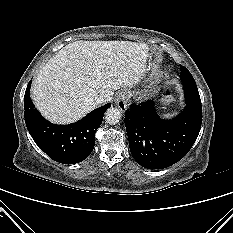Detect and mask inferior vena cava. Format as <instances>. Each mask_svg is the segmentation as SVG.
Segmentation results:
<instances>
[{
	"instance_id": "inferior-vena-cava-1",
	"label": "inferior vena cava",
	"mask_w": 233,
	"mask_h": 233,
	"mask_svg": "<svg viewBox=\"0 0 233 233\" xmlns=\"http://www.w3.org/2000/svg\"><path fill=\"white\" fill-rule=\"evenodd\" d=\"M105 102V98L103 96H96L94 99H93V103L94 105L98 106L102 103Z\"/></svg>"
}]
</instances>
